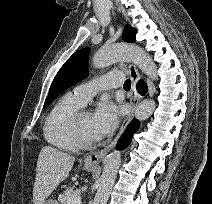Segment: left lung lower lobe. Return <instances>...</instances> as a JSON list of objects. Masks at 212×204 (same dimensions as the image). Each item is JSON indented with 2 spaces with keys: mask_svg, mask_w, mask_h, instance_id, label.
I'll list each match as a JSON object with an SVG mask.
<instances>
[{
  "mask_svg": "<svg viewBox=\"0 0 212 204\" xmlns=\"http://www.w3.org/2000/svg\"><path fill=\"white\" fill-rule=\"evenodd\" d=\"M139 128V121L134 119L130 122V124L127 126L126 130L120 137L118 143H117V150H123L130 144L132 137L134 133Z\"/></svg>",
  "mask_w": 212,
  "mask_h": 204,
  "instance_id": "obj_1",
  "label": "left lung lower lobe"
}]
</instances>
